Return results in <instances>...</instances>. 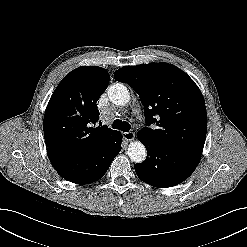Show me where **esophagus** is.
<instances>
[{"label": "esophagus", "mask_w": 247, "mask_h": 247, "mask_svg": "<svg viewBox=\"0 0 247 247\" xmlns=\"http://www.w3.org/2000/svg\"><path fill=\"white\" fill-rule=\"evenodd\" d=\"M122 135H123L124 140L127 142H130V141L134 140V138H135V133L132 131L124 132Z\"/></svg>", "instance_id": "obj_1"}]
</instances>
